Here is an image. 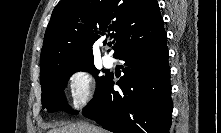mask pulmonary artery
I'll return each mask as SVG.
<instances>
[{
  "mask_svg": "<svg viewBox=\"0 0 221 133\" xmlns=\"http://www.w3.org/2000/svg\"><path fill=\"white\" fill-rule=\"evenodd\" d=\"M103 63L105 65V67H112L114 65V59L111 57L110 54H106L104 57H103Z\"/></svg>",
  "mask_w": 221,
  "mask_h": 133,
  "instance_id": "1",
  "label": "pulmonary artery"
}]
</instances>
